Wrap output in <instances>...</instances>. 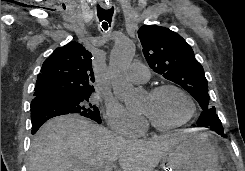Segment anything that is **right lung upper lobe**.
I'll list each match as a JSON object with an SVG mask.
<instances>
[{"mask_svg": "<svg viewBox=\"0 0 245 171\" xmlns=\"http://www.w3.org/2000/svg\"><path fill=\"white\" fill-rule=\"evenodd\" d=\"M91 57L92 54L75 41L56 48L44 61L37 76L32 101L47 100L53 95L74 96L94 92Z\"/></svg>", "mask_w": 245, "mask_h": 171, "instance_id": "obj_1", "label": "right lung upper lobe"}]
</instances>
